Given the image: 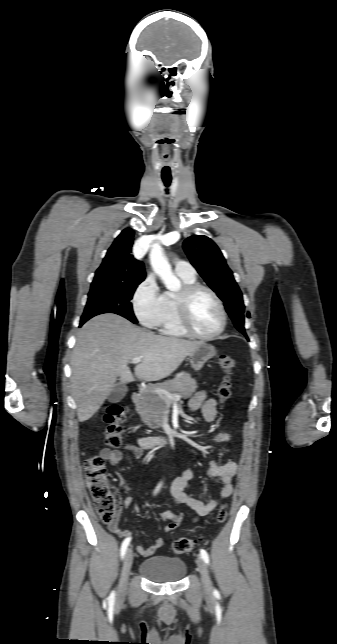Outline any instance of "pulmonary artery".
<instances>
[{
  "label": "pulmonary artery",
  "mask_w": 337,
  "mask_h": 644,
  "mask_svg": "<svg viewBox=\"0 0 337 644\" xmlns=\"http://www.w3.org/2000/svg\"><path fill=\"white\" fill-rule=\"evenodd\" d=\"M175 271L178 274H183V275H187V276H195L196 275V271H195L194 267L189 262L182 261V260L177 261L175 263Z\"/></svg>",
  "instance_id": "pulmonary-artery-1"
}]
</instances>
